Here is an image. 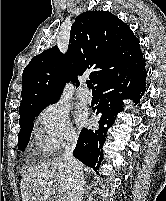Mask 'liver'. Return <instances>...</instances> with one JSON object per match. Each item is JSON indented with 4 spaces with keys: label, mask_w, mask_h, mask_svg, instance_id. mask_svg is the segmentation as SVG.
<instances>
[{
    "label": "liver",
    "mask_w": 166,
    "mask_h": 201,
    "mask_svg": "<svg viewBox=\"0 0 166 201\" xmlns=\"http://www.w3.org/2000/svg\"><path fill=\"white\" fill-rule=\"evenodd\" d=\"M81 168L83 171L82 164ZM72 185L67 163L57 157L24 170L20 186L22 201H69ZM49 190L55 193L46 198Z\"/></svg>",
    "instance_id": "1"
}]
</instances>
